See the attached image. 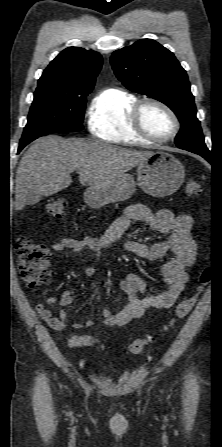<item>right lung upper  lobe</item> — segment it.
<instances>
[{
	"instance_id": "1",
	"label": "right lung upper lobe",
	"mask_w": 222,
	"mask_h": 447,
	"mask_svg": "<svg viewBox=\"0 0 222 447\" xmlns=\"http://www.w3.org/2000/svg\"><path fill=\"white\" fill-rule=\"evenodd\" d=\"M102 66V56L80 47H68L51 61L38 80L39 88L81 96L90 93Z\"/></svg>"
}]
</instances>
